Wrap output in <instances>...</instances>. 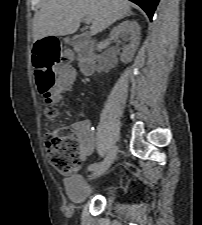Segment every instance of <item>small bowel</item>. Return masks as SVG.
<instances>
[{"label":"small bowel","instance_id":"obj_1","mask_svg":"<svg viewBox=\"0 0 202 225\" xmlns=\"http://www.w3.org/2000/svg\"><path fill=\"white\" fill-rule=\"evenodd\" d=\"M63 75L64 84L67 88H71L74 80V69L72 65H65L59 69ZM79 142V158L85 161L92 154L96 146V138L88 120H79L71 126Z\"/></svg>","mask_w":202,"mask_h":225}]
</instances>
